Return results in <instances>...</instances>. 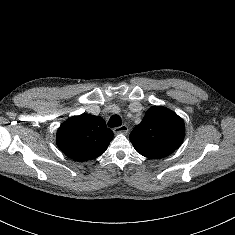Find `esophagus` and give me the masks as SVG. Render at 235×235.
<instances>
[{
    "instance_id": "34e87169",
    "label": "esophagus",
    "mask_w": 235,
    "mask_h": 235,
    "mask_svg": "<svg viewBox=\"0 0 235 235\" xmlns=\"http://www.w3.org/2000/svg\"><path fill=\"white\" fill-rule=\"evenodd\" d=\"M113 131L115 134H127L129 129H128V126L126 124H124L122 126L114 128Z\"/></svg>"
}]
</instances>
